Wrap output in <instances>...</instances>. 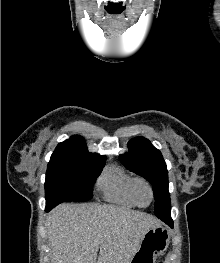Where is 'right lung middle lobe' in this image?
Listing matches in <instances>:
<instances>
[{
	"mask_svg": "<svg viewBox=\"0 0 220 263\" xmlns=\"http://www.w3.org/2000/svg\"><path fill=\"white\" fill-rule=\"evenodd\" d=\"M105 159L88 153L54 152L46 172V204L90 200Z\"/></svg>",
	"mask_w": 220,
	"mask_h": 263,
	"instance_id": "1",
	"label": "right lung middle lobe"
}]
</instances>
